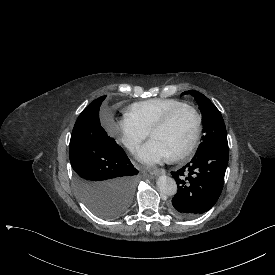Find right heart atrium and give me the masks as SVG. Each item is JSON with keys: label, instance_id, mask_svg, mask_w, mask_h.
<instances>
[{"label": "right heart atrium", "instance_id": "obj_1", "mask_svg": "<svg viewBox=\"0 0 275 275\" xmlns=\"http://www.w3.org/2000/svg\"><path fill=\"white\" fill-rule=\"evenodd\" d=\"M114 134L132 154L136 153L149 132L132 118L125 116L114 123Z\"/></svg>", "mask_w": 275, "mask_h": 275}]
</instances>
